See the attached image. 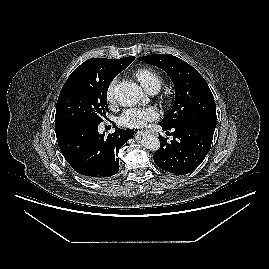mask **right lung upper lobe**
<instances>
[{"label":"right lung upper lobe","instance_id":"cb5924a9","mask_svg":"<svg viewBox=\"0 0 269 269\" xmlns=\"http://www.w3.org/2000/svg\"><path fill=\"white\" fill-rule=\"evenodd\" d=\"M134 59V56L116 60L92 58L82 63L74 71L96 78L114 79V77L129 66Z\"/></svg>","mask_w":269,"mask_h":269}]
</instances>
